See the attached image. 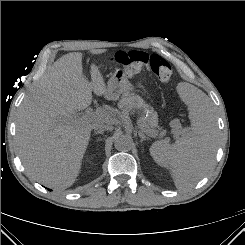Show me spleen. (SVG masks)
<instances>
[{
    "instance_id": "spleen-1",
    "label": "spleen",
    "mask_w": 245,
    "mask_h": 245,
    "mask_svg": "<svg viewBox=\"0 0 245 245\" xmlns=\"http://www.w3.org/2000/svg\"><path fill=\"white\" fill-rule=\"evenodd\" d=\"M181 96L188 106L190 133L170 145L154 142L150 154L154 161L169 168L175 186L185 190L195 185L211 168L217 149V124L209 97L197 87L180 84Z\"/></svg>"
}]
</instances>
